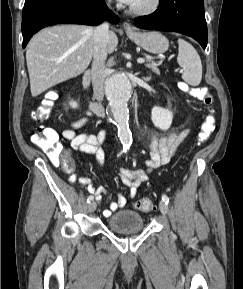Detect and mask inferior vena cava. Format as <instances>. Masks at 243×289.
Here are the masks:
<instances>
[{
	"label": "inferior vena cava",
	"instance_id": "obj_1",
	"mask_svg": "<svg viewBox=\"0 0 243 289\" xmlns=\"http://www.w3.org/2000/svg\"><path fill=\"white\" fill-rule=\"evenodd\" d=\"M109 38V24L104 22L94 29V56L92 62V86L94 98L103 100L104 81L106 77L105 61L107 59V43Z\"/></svg>",
	"mask_w": 243,
	"mask_h": 289
}]
</instances>
